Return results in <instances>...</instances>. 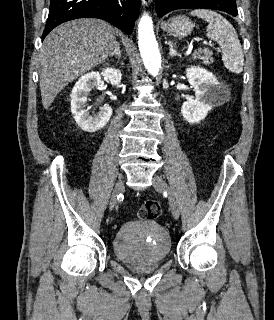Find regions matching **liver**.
Returning a JSON list of instances; mask_svg holds the SVG:
<instances>
[{
  "label": "liver",
  "instance_id": "1",
  "mask_svg": "<svg viewBox=\"0 0 274 320\" xmlns=\"http://www.w3.org/2000/svg\"><path fill=\"white\" fill-rule=\"evenodd\" d=\"M115 32L104 20L80 18L61 24L46 36L40 52V90L44 110L57 94L112 54Z\"/></svg>",
  "mask_w": 274,
  "mask_h": 320
}]
</instances>
